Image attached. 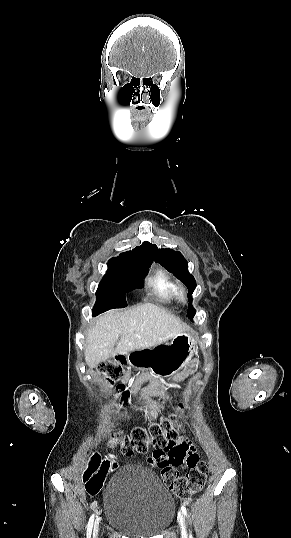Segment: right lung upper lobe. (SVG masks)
Here are the masks:
<instances>
[{"label": "right lung upper lobe", "mask_w": 291, "mask_h": 538, "mask_svg": "<svg viewBox=\"0 0 291 538\" xmlns=\"http://www.w3.org/2000/svg\"><path fill=\"white\" fill-rule=\"evenodd\" d=\"M129 259L134 261L139 260H149L153 261L155 259L154 255V245L149 242H144L141 246H137L131 251L121 253L118 257L112 259Z\"/></svg>", "instance_id": "cb5924a9"}]
</instances>
